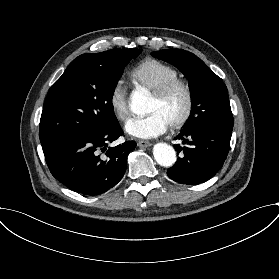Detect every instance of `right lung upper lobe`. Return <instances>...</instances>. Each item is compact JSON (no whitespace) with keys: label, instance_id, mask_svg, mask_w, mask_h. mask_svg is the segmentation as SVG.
Masks as SVG:
<instances>
[{"label":"right lung upper lobe","instance_id":"1","mask_svg":"<svg viewBox=\"0 0 279 279\" xmlns=\"http://www.w3.org/2000/svg\"><path fill=\"white\" fill-rule=\"evenodd\" d=\"M108 51H109V50H108ZM108 51H105V52H108ZM105 52H101V53H105ZM101 53H100V54H101Z\"/></svg>","mask_w":279,"mask_h":279}]
</instances>
